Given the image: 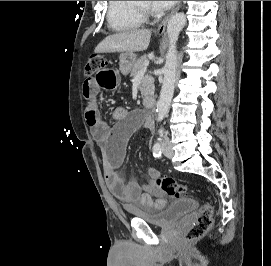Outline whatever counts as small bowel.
<instances>
[{
  "mask_svg": "<svg viewBox=\"0 0 271 266\" xmlns=\"http://www.w3.org/2000/svg\"><path fill=\"white\" fill-rule=\"evenodd\" d=\"M119 79V70L109 64L86 79L83 85V95L87 100L85 119L93 139L104 147V177L111 193L127 205L144 210H159L164 208L168 201L155 186L154 180L160 176L156 168L148 169L151 179L143 183L134 179L125 180L119 172L129 137L140 125V116L136 112H128L123 107H117L113 112L116 125L110 127L100 114L99 92L114 90L119 84Z\"/></svg>",
  "mask_w": 271,
  "mask_h": 266,
  "instance_id": "obj_1",
  "label": "small bowel"
}]
</instances>
